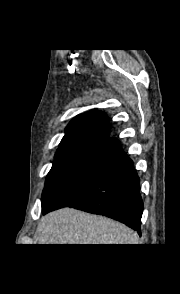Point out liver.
I'll return each mask as SVG.
<instances>
[{"label":"liver","instance_id":"1","mask_svg":"<svg viewBox=\"0 0 180 294\" xmlns=\"http://www.w3.org/2000/svg\"><path fill=\"white\" fill-rule=\"evenodd\" d=\"M40 244H137L128 227L102 216L64 208L43 217L38 225Z\"/></svg>","mask_w":180,"mask_h":294}]
</instances>
